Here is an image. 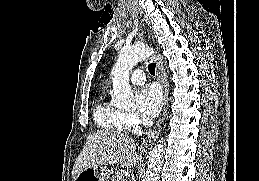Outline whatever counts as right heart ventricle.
Instances as JSON below:
<instances>
[{
  "instance_id": "1",
  "label": "right heart ventricle",
  "mask_w": 259,
  "mask_h": 181,
  "mask_svg": "<svg viewBox=\"0 0 259 181\" xmlns=\"http://www.w3.org/2000/svg\"><path fill=\"white\" fill-rule=\"evenodd\" d=\"M93 118L98 127L107 131L121 132L127 129L125 113L108 103L103 94L95 105Z\"/></svg>"
}]
</instances>
